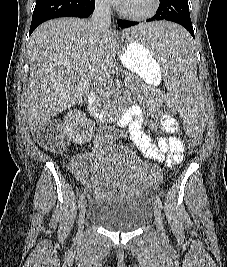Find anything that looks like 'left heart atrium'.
Instances as JSON below:
<instances>
[{
	"mask_svg": "<svg viewBox=\"0 0 227 267\" xmlns=\"http://www.w3.org/2000/svg\"><path fill=\"white\" fill-rule=\"evenodd\" d=\"M114 4L123 7L128 0H111Z\"/></svg>",
	"mask_w": 227,
	"mask_h": 267,
	"instance_id": "obj_1",
	"label": "left heart atrium"
}]
</instances>
